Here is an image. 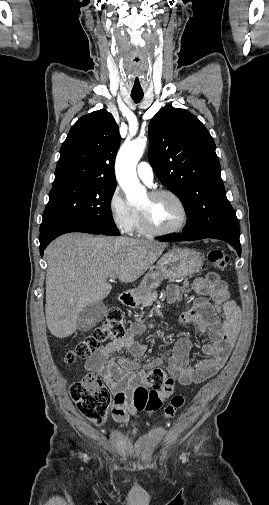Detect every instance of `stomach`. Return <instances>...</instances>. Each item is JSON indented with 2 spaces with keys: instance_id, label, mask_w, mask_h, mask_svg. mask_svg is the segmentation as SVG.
<instances>
[{
  "instance_id": "stomach-1",
  "label": "stomach",
  "mask_w": 269,
  "mask_h": 505,
  "mask_svg": "<svg viewBox=\"0 0 269 505\" xmlns=\"http://www.w3.org/2000/svg\"><path fill=\"white\" fill-rule=\"evenodd\" d=\"M201 253L188 248L174 249L164 254L143 278L139 293L145 294L157 288L163 279L179 280L197 273L202 266ZM138 304V301H136Z\"/></svg>"
}]
</instances>
